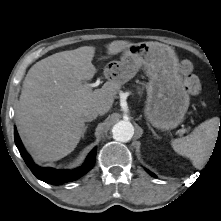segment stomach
Returning a JSON list of instances; mask_svg holds the SVG:
<instances>
[{"instance_id":"1","label":"stomach","mask_w":221,"mask_h":221,"mask_svg":"<svg viewBox=\"0 0 221 221\" xmlns=\"http://www.w3.org/2000/svg\"><path fill=\"white\" fill-rule=\"evenodd\" d=\"M140 68L149 76L144 114L156 128H176L189 107V94L179 74L174 49L159 42H140L124 49L120 61L105 66V74L115 82L126 83Z\"/></svg>"}]
</instances>
